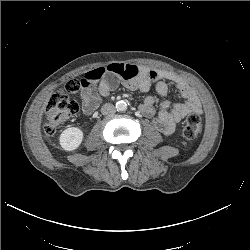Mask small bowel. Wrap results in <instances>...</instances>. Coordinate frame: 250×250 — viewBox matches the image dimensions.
Listing matches in <instances>:
<instances>
[{"label":"small bowel","instance_id":"obj_1","mask_svg":"<svg viewBox=\"0 0 250 250\" xmlns=\"http://www.w3.org/2000/svg\"><path fill=\"white\" fill-rule=\"evenodd\" d=\"M167 81L175 85L185 101L171 106L165 100L155 116V99L148 96L140 105V111L151 119L153 126L160 132L170 134L184 117L202 112L201 102L194 89L183 78L170 71L122 63L89 70L81 79L82 110L86 115L94 113L102 98L108 96L119 82L142 92L155 88L160 96L166 97L169 93Z\"/></svg>","mask_w":250,"mask_h":250}]
</instances>
